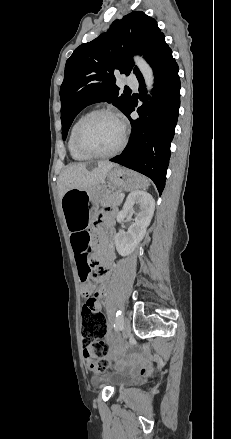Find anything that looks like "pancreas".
<instances>
[{
    "label": "pancreas",
    "mask_w": 231,
    "mask_h": 439,
    "mask_svg": "<svg viewBox=\"0 0 231 439\" xmlns=\"http://www.w3.org/2000/svg\"><path fill=\"white\" fill-rule=\"evenodd\" d=\"M120 192H109L106 193L101 204H112V205H120L122 203V198L120 196Z\"/></svg>",
    "instance_id": "obj_1"
}]
</instances>
